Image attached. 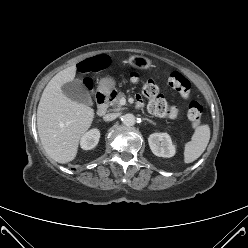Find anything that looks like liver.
<instances>
[{"mask_svg":"<svg viewBox=\"0 0 248 248\" xmlns=\"http://www.w3.org/2000/svg\"><path fill=\"white\" fill-rule=\"evenodd\" d=\"M76 66L57 73L45 87L37 109V129L46 153L56 162L75 159L81 138L90 128L94 110L65 96L61 87L74 80Z\"/></svg>","mask_w":248,"mask_h":248,"instance_id":"1","label":"liver"}]
</instances>
